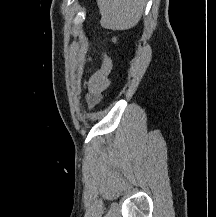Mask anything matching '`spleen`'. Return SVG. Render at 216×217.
Here are the masks:
<instances>
[{
  "label": "spleen",
  "instance_id": "1",
  "mask_svg": "<svg viewBox=\"0 0 216 217\" xmlns=\"http://www.w3.org/2000/svg\"><path fill=\"white\" fill-rule=\"evenodd\" d=\"M101 25L112 30H127L140 20L146 0H97Z\"/></svg>",
  "mask_w": 216,
  "mask_h": 217
}]
</instances>
